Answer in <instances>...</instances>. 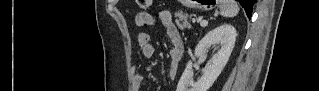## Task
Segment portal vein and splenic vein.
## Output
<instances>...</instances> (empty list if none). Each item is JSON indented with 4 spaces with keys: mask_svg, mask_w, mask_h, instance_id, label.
Segmentation results:
<instances>
[{
    "mask_svg": "<svg viewBox=\"0 0 319 91\" xmlns=\"http://www.w3.org/2000/svg\"><path fill=\"white\" fill-rule=\"evenodd\" d=\"M207 24H208V22H207V21H205V20L200 22V25H201L202 27L207 26Z\"/></svg>",
    "mask_w": 319,
    "mask_h": 91,
    "instance_id": "18ae733b",
    "label": "portal vein and splenic vein"
}]
</instances>
